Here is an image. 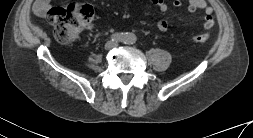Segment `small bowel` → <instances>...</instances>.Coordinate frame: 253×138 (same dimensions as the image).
<instances>
[{
	"label": "small bowel",
	"mask_w": 253,
	"mask_h": 138,
	"mask_svg": "<svg viewBox=\"0 0 253 138\" xmlns=\"http://www.w3.org/2000/svg\"><path fill=\"white\" fill-rule=\"evenodd\" d=\"M154 7L160 12H166L168 5L165 0H150ZM182 3L180 0H174L172 6L175 9H179ZM51 6V0H36L34 3V12L39 15H45ZM187 10L191 13L197 10H203L205 13L204 28L210 29L214 25V16L212 8L207 4L205 0H187ZM157 29L160 32H166L169 29V23L162 19L157 22Z\"/></svg>",
	"instance_id": "small-bowel-1"
}]
</instances>
